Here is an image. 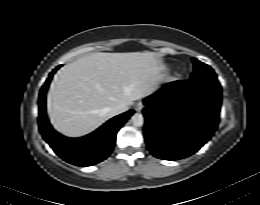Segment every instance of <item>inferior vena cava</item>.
I'll list each match as a JSON object with an SVG mask.
<instances>
[{
    "instance_id": "602c4592",
    "label": "inferior vena cava",
    "mask_w": 260,
    "mask_h": 205,
    "mask_svg": "<svg viewBox=\"0 0 260 205\" xmlns=\"http://www.w3.org/2000/svg\"><path fill=\"white\" fill-rule=\"evenodd\" d=\"M128 106L124 103H120L111 108L110 112L112 115H118L128 110Z\"/></svg>"
}]
</instances>
